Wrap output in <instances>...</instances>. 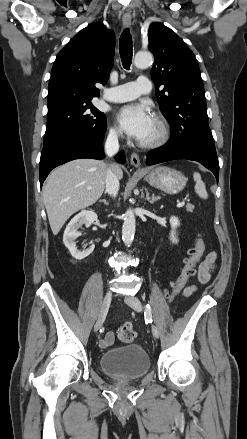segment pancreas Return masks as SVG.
Segmentation results:
<instances>
[{"label":"pancreas","instance_id":"obj_1","mask_svg":"<svg viewBox=\"0 0 247 439\" xmlns=\"http://www.w3.org/2000/svg\"><path fill=\"white\" fill-rule=\"evenodd\" d=\"M186 210H187L188 212H193V210H194V205H192V204H187V205H186Z\"/></svg>","mask_w":247,"mask_h":439}]
</instances>
